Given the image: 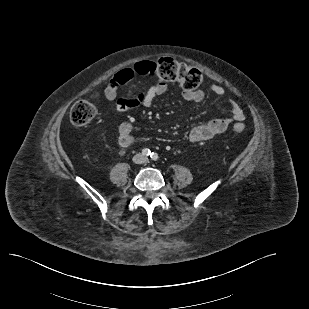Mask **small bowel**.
<instances>
[{"mask_svg":"<svg viewBox=\"0 0 309 309\" xmlns=\"http://www.w3.org/2000/svg\"><path fill=\"white\" fill-rule=\"evenodd\" d=\"M154 74L155 70L151 61H141L131 67L123 68L112 76L109 84L104 89V96L108 101H115L117 99L118 90L120 87L126 85L136 77L151 76ZM167 89V84L160 81L151 85L146 91L139 93L136 97L117 99L115 108L117 111L123 112L139 105L150 107L152 106L155 98L165 94ZM210 89L217 96L225 97L231 111V116L213 119L206 123L192 127L188 133V139L192 143L210 140L224 133L228 129L231 122L236 121L240 123L245 119V114L242 108L234 98L226 95V90L224 87L217 84H212ZM183 97L187 101L200 103L203 101L205 93L200 89L184 91ZM132 130L133 127L130 121L120 124L118 133L119 144L121 147L129 148L133 145L134 138L132 135Z\"/></svg>","mask_w":309,"mask_h":309,"instance_id":"c3829d8e","label":"small bowel"}]
</instances>
